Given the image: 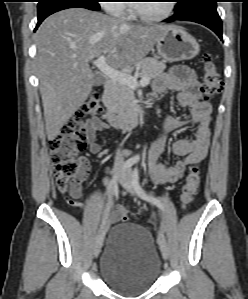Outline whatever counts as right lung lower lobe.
<instances>
[{"instance_id":"right-lung-lower-lobe-1","label":"right lung lower lobe","mask_w":248,"mask_h":299,"mask_svg":"<svg viewBox=\"0 0 248 299\" xmlns=\"http://www.w3.org/2000/svg\"><path fill=\"white\" fill-rule=\"evenodd\" d=\"M74 7H82V8H86V9H89V10H94V11H97L91 7H88V6H85L83 4H80V3H75V2H59V3H56L52 6H49L41 11L38 12V23H37V26L35 28V30L38 28V26L40 25V23L49 15L57 12V11H60V10H63V9H67V8H74Z\"/></svg>"}]
</instances>
